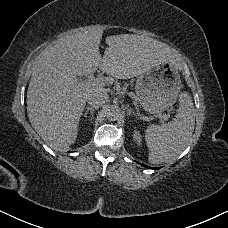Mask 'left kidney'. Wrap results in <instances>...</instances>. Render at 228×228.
Instances as JSON below:
<instances>
[{
	"instance_id": "obj_1",
	"label": "left kidney",
	"mask_w": 228,
	"mask_h": 228,
	"mask_svg": "<svg viewBox=\"0 0 228 228\" xmlns=\"http://www.w3.org/2000/svg\"><path fill=\"white\" fill-rule=\"evenodd\" d=\"M134 138H135V140H136L138 143H139L140 140H141L137 132L134 133Z\"/></svg>"
}]
</instances>
